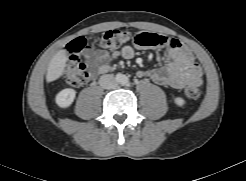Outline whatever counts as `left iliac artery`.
<instances>
[{
	"label": "left iliac artery",
	"mask_w": 246,
	"mask_h": 181,
	"mask_svg": "<svg viewBox=\"0 0 246 181\" xmlns=\"http://www.w3.org/2000/svg\"><path fill=\"white\" fill-rule=\"evenodd\" d=\"M129 79L127 77H124L123 82L128 83Z\"/></svg>",
	"instance_id": "1"
}]
</instances>
